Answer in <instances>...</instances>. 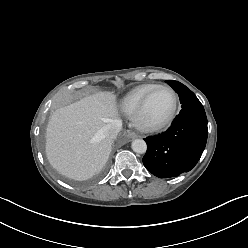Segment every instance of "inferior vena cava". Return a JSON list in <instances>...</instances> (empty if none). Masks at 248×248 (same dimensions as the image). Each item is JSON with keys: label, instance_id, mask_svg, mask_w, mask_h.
<instances>
[{"label": "inferior vena cava", "instance_id": "inferior-vena-cava-1", "mask_svg": "<svg viewBox=\"0 0 248 248\" xmlns=\"http://www.w3.org/2000/svg\"><path fill=\"white\" fill-rule=\"evenodd\" d=\"M122 128V122L119 119L112 120L103 128L105 136L109 139H115Z\"/></svg>", "mask_w": 248, "mask_h": 248}]
</instances>
